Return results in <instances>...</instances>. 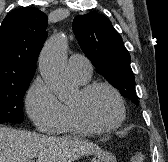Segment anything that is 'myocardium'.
<instances>
[{"label": "myocardium", "instance_id": "myocardium-1", "mask_svg": "<svg viewBox=\"0 0 168 162\" xmlns=\"http://www.w3.org/2000/svg\"><path fill=\"white\" fill-rule=\"evenodd\" d=\"M106 89L115 97L118 107V118L109 125H97L93 123L84 113L81 103H71V109L75 116L76 121L80 126L88 130L89 132H110L118 129L126 119V106L121 93L111 84L106 82H92L84 84L80 89L81 98H85L97 89Z\"/></svg>", "mask_w": 168, "mask_h": 162}]
</instances>
